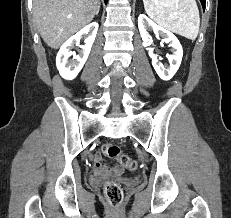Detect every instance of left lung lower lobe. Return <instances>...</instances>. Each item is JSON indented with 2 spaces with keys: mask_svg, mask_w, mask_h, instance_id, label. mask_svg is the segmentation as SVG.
Masks as SVG:
<instances>
[{
  "mask_svg": "<svg viewBox=\"0 0 231 218\" xmlns=\"http://www.w3.org/2000/svg\"><path fill=\"white\" fill-rule=\"evenodd\" d=\"M205 1L206 0H200L201 4H202V7H203V10H205Z\"/></svg>",
  "mask_w": 231,
  "mask_h": 218,
  "instance_id": "left-lung-lower-lobe-1",
  "label": "left lung lower lobe"
}]
</instances>
